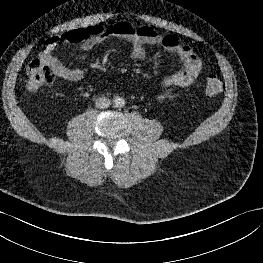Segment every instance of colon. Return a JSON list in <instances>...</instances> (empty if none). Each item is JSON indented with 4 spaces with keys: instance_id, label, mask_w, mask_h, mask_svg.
Listing matches in <instances>:
<instances>
[{
    "instance_id": "5ec220e1",
    "label": "colon",
    "mask_w": 263,
    "mask_h": 263,
    "mask_svg": "<svg viewBox=\"0 0 263 263\" xmlns=\"http://www.w3.org/2000/svg\"><path fill=\"white\" fill-rule=\"evenodd\" d=\"M55 73L39 60H32L26 70L25 87L29 92H37L42 87L53 83ZM223 90V84L215 75H210L205 81V92L209 96H215Z\"/></svg>"
}]
</instances>
